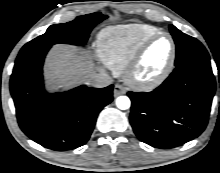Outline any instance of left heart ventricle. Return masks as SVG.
<instances>
[{"instance_id":"b2bd125f","label":"left heart ventricle","mask_w":220,"mask_h":173,"mask_svg":"<svg viewBox=\"0 0 220 173\" xmlns=\"http://www.w3.org/2000/svg\"><path fill=\"white\" fill-rule=\"evenodd\" d=\"M171 44L167 37H161L146 50L136 73L139 79H151L157 76L169 61Z\"/></svg>"}]
</instances>
